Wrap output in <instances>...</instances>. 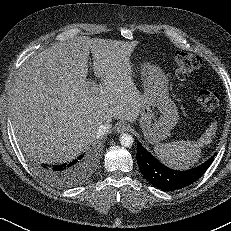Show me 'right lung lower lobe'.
<instances>
[{
	"label": "right lung lower lobe",
	"mask_w": 231,
	"mask_h": 231,
	"mask_svg": "<svg viewBox=\"0 0 231 231\" xmlns=\"http://www.w3.org/2000/svg\"><path fill=\"white\" fill-rule=\"evenodd\" d=\"M97 153L90 152L80 155L77 159L58 165L43 164L37 166L41 177L49 183L63 188L74 187L82 183L93 171Z\"/></svg>",
	"instance_id": "98d812e1"
}]
</instances>
